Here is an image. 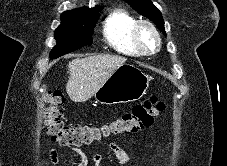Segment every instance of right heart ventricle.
Here are the masks:
<instances>
[{"mask_svg": "<svg viewBox=\"0 0 227 166\" xmlns=\"http://www.w3.org/2000/svg\"><path fill=\"white\" fill-rule=\"evenodd\" d=\"M136 22L137 19L126 10L111 12L103 23V36L107 44L122 54L141 55L132 40V29Z\"/></svg>", "mask_w": 227, "mask_h": 166, "instance_id": "obj_1", "label": "right heart ventricle"}]
</instances>
